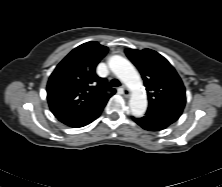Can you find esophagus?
Wrapping results in <instances>:
<instances>
[{
    "mask_svg": "<svg viewBox=\"0 0 222 187\" xmlns=\"http://www.w3.org/2000/svg\"><path fill=\"white\" fill-rule=\"evenodd\" d=\"M121 89L124 96L128 97L130 95V91L125 85H122Z\"/></svg>",
    "mask_w": 222,
    "mask_h": 187,
    "instance_id": "1",
    "label": "esophagus"
}]
</instances>
